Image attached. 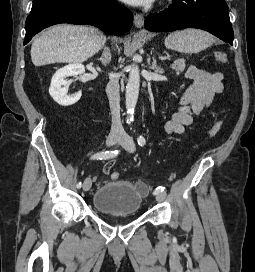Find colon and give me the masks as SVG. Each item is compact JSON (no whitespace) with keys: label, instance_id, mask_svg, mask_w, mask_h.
<instances>
[{"label":"colon","instance_id":"colon-1","mask_svg":"<svg viewBox=\"0 0 255 272\" xmlns=\"http://www.w3.org/2000/svg\"><path fill=\"white\" fill-rule=\"evenodd\" d=\"M214 58L219 64H222V65H225L228 62V56H227V53L225 51H216L214 53ZM221 126H222V123H221L220 120L215 121L212 124V126L210 127L209 131H208L209 138L212 139V138L216 137L218 135V133L220 132V130H221ZM110 177H111L112 180H117L119 178V173L118 172H112ZM139 187H140V192L141 193H146L147 192V188H146L145 185L139 184Z\"/></svg>","mask_w":255,"mask_h":272}]
</instances>
